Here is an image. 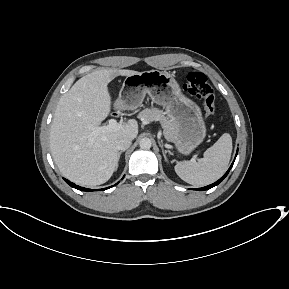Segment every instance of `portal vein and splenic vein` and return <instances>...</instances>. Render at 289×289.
Here are the masks:
<instances>
[{
	"label": "portal vein and splenic vein",
	"instance_id": "obj_1",
	"mask_svg": "<svg viewBox=\"0 0 289 289\" xmlns=\"http://www.w3.org/2000/svg\"><path fill=\"white\" fill-rule=\"evenodd\" d=\"M121 127L115 119H110L108 125L93 128V135L118 130Z\"/></svg>",
	"mask_w": 289,
	"mask_h": 289
}]
</instances>
